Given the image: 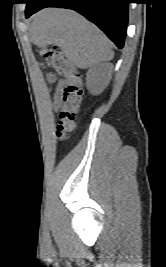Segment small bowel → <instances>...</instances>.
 Wrapping results in <instances>:
<instances>
[{"label":"small bowel","instance_id":"1","mask_svg":"<svg viewBox=\"0 0 166 267\" xmlns=\"http://www.w3.org/2000/svg\"><path fill=\"white\" fill-rule=\"evenodd\" d=\"M64 86H65V82L59 81L56 88H55V93L59 94L63 90Z\"/></svg>","mask_w":166,"mask_h":267}]
</instances>
